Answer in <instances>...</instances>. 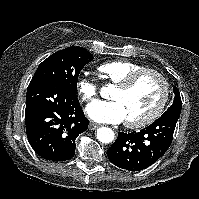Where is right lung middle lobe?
I'll list each match as a JSON object with an SVG mask.
<instances>
[{
  "mask_svg": "<svg viewBox=\"0 0 199 199\" xmlns=\"http://www.w3.org/2000/svg\"><path fill=\"white\" fill-rule=\"evenodd\" d=\"M93 56L82 47H68L45 59L37 68L31 82L55 80L76 94L78 76Z\"/></svg>",
  "mask_w": 199,
  "mask_h": 199,
  "instance_id": "right-lung-middle-lobe-1",
  "label": "right lung middle lobe"
}]
</instances>
